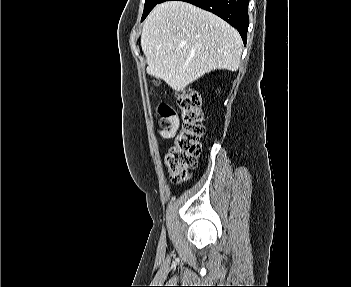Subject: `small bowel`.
Instances as JSON below:
<instances>
[{"instance_id": "1", "label": "small bowel", "mask_w": 351, "mask_h": 287, "mask_svg": "<svg viewBox=\"0 0 351 287\" xmlns=\"http://www.w3.org/2000/svg\"><path fill=\"white\" fill-rule=\"evenodd\" d=\"M179 128V119L175 116L167 128L158 131L159 136L164 139L173 138Z\"/></svg>"}]
</instances>
